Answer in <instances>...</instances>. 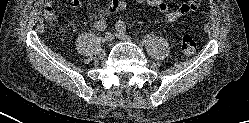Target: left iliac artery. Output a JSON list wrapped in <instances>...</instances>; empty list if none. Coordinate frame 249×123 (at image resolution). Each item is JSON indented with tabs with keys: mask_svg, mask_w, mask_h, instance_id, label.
<instances>
[{
	"mask_svg": "<svg viewBox=\"0 0 249 123\" xmlns=\"http://www.w3.org/2000/svg\"><path fill=\"white\" fill-rule=\"evenodd\" d=\"M116 29L122 32H126V24L123 21H118L116 24Z\"/></svg>",
	"mask_w": 249,
	"mask_h": 123,
	"instance_id": "1",
	"label": "left iliac artery"
}]
</instances>
